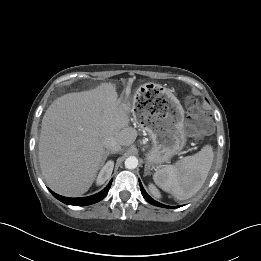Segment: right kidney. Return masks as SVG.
<instances>
[{
	"label": "right kidney",
	"mask_w": 261,
	"mask_h": 261,
	"mask_svg": "<svg viewBox=\"0 0 261 261\" xmlns=\"http://www.w3.org/2000/svg\"><path fill=\"white\" fill-rule=\"evenodd\" d=\"M114 168V162L108 161L103 168L101 169L98 177H97V185H102L105 183L106 180H108L112 174Z\"/></svg>",
	"instance_id": "ca27d5eb"
}]
</instances>
